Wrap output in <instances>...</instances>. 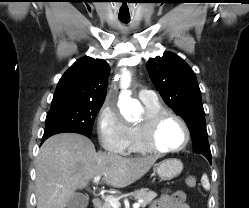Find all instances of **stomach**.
Returning a JSON list of instances; mask_svg holds the SVG:
<instances>
[{
  "instance_id": "stomach-1",
  "label": "stomach",
  "mask_w": 249,
  "mask_h": 208,
  "mask_svg": "<svg viewBox=\"0 0 249 208\" xmlns=\"http://www.w3.org/2000/svg\"><path fill=\"white\" fill-rule=\"evenodd\" d=\"M182 170L183 163L176 158L166 159L155 165V171L161 180H171L180 175Z\"/></svg>"
}]
</instances>
